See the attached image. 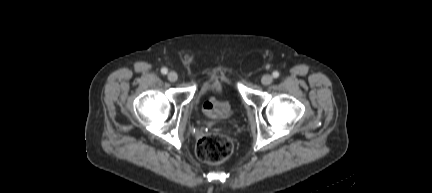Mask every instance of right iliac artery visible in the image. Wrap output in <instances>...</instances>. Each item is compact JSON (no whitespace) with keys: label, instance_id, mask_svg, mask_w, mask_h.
<instances>
[{"label":"right iliac artery","instance_id":"82829eb1","mask_svg":"<svg viewBox=\"0 0 432 193\" xmlns=\"http://www.w3.org/2000/svg\"><path fill=\"white\" fill-rule=\"evenodd\" d=\"M167 72H168L167 68H162V69H161V73H162V74H167Z\"/></svg>","mask_w":432,"mask_h":193}]
</instances>
